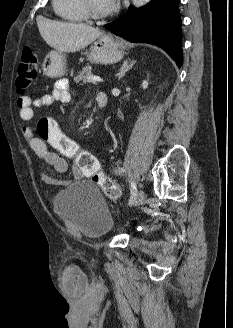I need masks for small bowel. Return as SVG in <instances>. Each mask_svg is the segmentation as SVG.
<instances>
[{"label": "small bowel", "mask_w": 233, "mask_h": 328, "mask_svg": "<svg viewBox=\"0 0 233 328\" xmlns=\"http://www.w3.org/2000/svg\"><path fill=\"white\" fill-rule=\"evenodd\" d=\"M67 81H58L51 93L32 99L29 96H21L17 100L18 114L22 122L21 131L28 141L31 149L39 160L50 165L58 173H64L68 169V163L61 155L49 150L47 144L33 135L29 122L33 118L34 108H44L56 102H68L70 100ZM74 178L78 179L83 173L77 166L72 168ZM42 180L53 186H65L69 181L58 180L50 175L42 174ZM63 286L67 295L79 297L88 290V278L84 271L76 264L67 266L63 273Z\"/></svg>", "instance_id": "1"}]
</instances>
